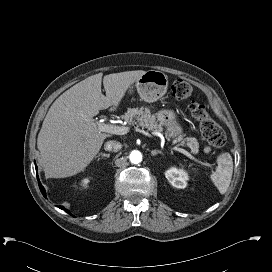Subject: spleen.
<instances>
[{"label": "spleen", "mask_w": 272, "mask_h": 272, "mask_svg": "<svg viewBox=\"0 0 272 272\" xmlns=\"http://www.w3.org/2000/svg\"><path fill=\"white\" fill-rule=\"evenodd\" d=\"M233 173V161L229 153L225 152L218 157L217 170L211 179L220 193H225L230 185Z\"/></svg>", "instance_id": "1"}]
</instances>
